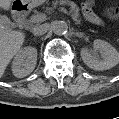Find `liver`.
<instances>
[{
    "mask_svg": "<svg viewBox=\"0 0 119 119\" xmlns=\"http://www.w3.org/2000/svg\"><path fill=\"white\" fill-rule=\"evenodd\" d=\"M13 0H0V8L11 9ZM12 13L15 11L11 10ZM25 40L22 32L9 30L0 25V78L4 75L7 65L12 58L20 51Z\"/></svg>",
    "mask_w": 119,
    "mask_h": 119,
    "instance_id": "1",
    "label": "liver"
}]
</instances>
